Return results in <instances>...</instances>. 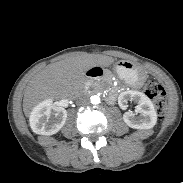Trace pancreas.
<instances>
[{"instance_id":"1","label":"pancreas","mask_w":183,"mask_h":183,"mask_svg":"<svg viewBox=\"0 0 183 183\" xmlns=\"http://www.w3.org/2000/svg\"><path fill=\"white\" fill-rule=\"evenodd\" d=\"M99 86V83L98 82H94L93 83V87L97 88Z\"/></svg>"}]
</instances>
